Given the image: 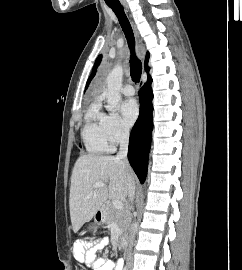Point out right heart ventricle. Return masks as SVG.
I'll use <instances>...</instances> for the list:
<instances>
[{
  "label": "right heart ventricle",
  "mask_w": 242,
  "mask_h": 270,
  "mask_svg": "<svg viewBox=\"0 0 242 270\" xmlns=\"http://www.w3.org/2000/svg\"><path fill=\"white\" fill-rule=\"evenodd\" d=\"M81 137L89 153L99 154L113 150L106 129V115L100 111L96 101L86 111Z\"/></svg>",
  "instance_id": "obj_1"
}]
</instances>
